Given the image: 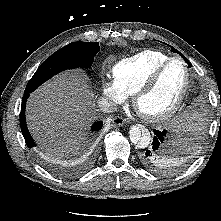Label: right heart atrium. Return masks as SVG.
<instances>
[{
	"label": "right heart atrium",
	"mask_w": 221,
	"mask_h": 221,
	"mask_svg": "<svg viewBox=\"0 0 221 221\" xmlns=\"http://www.w3.org/2000/svg\"><path fill=\"white\" fill-rule=\"evenodd\" d=\"M101 92L104 99L110 104H121L127 99V94L119 84L108 77L102 79Z\"/></svg>",
	"instance_id": "right-heart-atrium-1"
}]
</instances>
